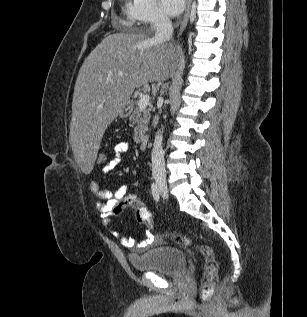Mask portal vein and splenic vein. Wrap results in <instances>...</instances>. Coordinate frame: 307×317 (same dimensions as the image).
<instances>
[{
  "label": "portal vein and splenic vein",
  "instance_id": "portal-vein-and-splenic-vein-1",
  "mask_svg": "<svg viewBox=\"0 0 307 317\" xmlns=\"http://www.w3.org/2000/svg\"><path fill=\"white\" fill-rule=\"evenodd\" d=\"M120 75H123L122 73H120ZM149 103V95L147 94H143L140 96L139 102H138V107L140 110L145 109L146 106Z\"/></svg>",
  "mask_w": 307,
  "mask_h": 317
}]
</instances>
